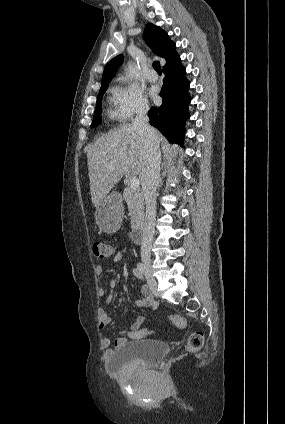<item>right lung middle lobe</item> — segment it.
I'll list each match as a JSON object with an SVG mask.
<instances>
[{"instance_id": "obj_1", "label": "right lung middle lobe", "mask_w": 285, "mask_h": 424, "mask_svg": "<svg viewBox=\"0 0 285 424\" xmlns=\"http://www.w3.org/2000/svg\"><path fill=\"white\" fill-rule=\"evenodd\" d=\"M107 87L108 86L100 88V92H99L98 97H97L96 109H95L93 121H92V124H91V128H94L101 123V101H102L103 94L105 93Z\"/></svg>"}]
</instances>
